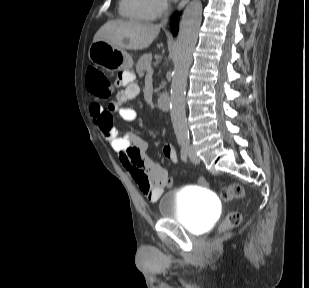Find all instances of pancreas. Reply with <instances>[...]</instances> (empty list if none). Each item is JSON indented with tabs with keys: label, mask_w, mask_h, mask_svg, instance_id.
I'll return each instance as SVG.
<instances>
[{
	"label": "pancreas",
	"mask_w": 309,
	"mask_h": 288,
	"mask_svg": "<svg viewBox=\"0 0 309 288\" xmlns=\"http://www.w3.org/2000/svg\"><path fill=\"white\" fill-rule=\"evenodd\" d=\"M152 55L151 53L144 54L139 58L136 64V71L139 77H143L144 72L148 71L149 66H151Z\"/></svg>",
	"instance_id": "cf45deb5"
}]
</instances>
